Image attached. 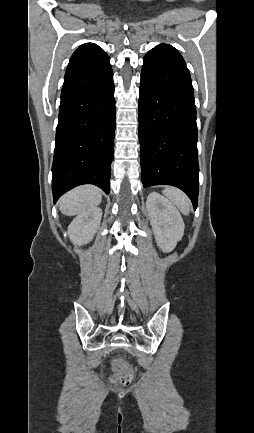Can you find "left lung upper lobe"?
Wrapping results in <instances>:
<instances>
[{
	"label": "left lung upper lobe",
	"instance_id": "1",
	"mask_svg": "<svg viewBox=\"0 0 254 433\" xmlns=\"http://www.w3.org/2000/svg\"><path fill=\"white\" fill-rule=\"evenodd\" d=\"M148 53L160 54L163 56L171 57V58L178 60L182 63H185L184 59L180 55V53L174 47H172L171 45H168V44H160V45L156 46L155 48H153Z\"/></svg>",
	"mask_w": 254,
	"mask_h": 433
}]
</instances>
